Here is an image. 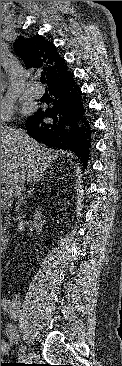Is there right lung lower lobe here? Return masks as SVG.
Masks as SVG:
<instances>
[{
    "label": "right lung lower lobe",
    "mask_w": 122,
    "mask_h": 366,
    "mask_svg": "<svg viewBox=\"0 0 122 366\" xmlns=\"http://www.w3.org/2000/svg\"><path fill=\"white\" fill-rule=\"evenodd\" d=\"M48 90L52 96L47 102L48 108L43 112L40 110L37 116L28 119L27 133L50 148L75 153L86 167L92 131L86 120H82L84 127H76L79 118L83 117L85 97L82 96L73 73L66 81L50 85ZM69 125L71 128L68 130Z\"/></svg>",
    "instance_id": "obj_1"
}]
</instances>
